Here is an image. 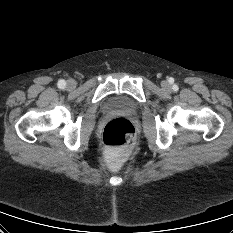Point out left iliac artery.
Wrapping results in <instances>:
<instances>
[{
	"instance_id": "left-iliac-artery-1",
	"label": "left iliac artery",
	"mask_w": 233,
	"mask_h": 233,
	"mask_svg": "<svg viewBox=\"0 0 233 233\" xmlns=\"http://www.w3.org/2000/svg\"><path fill=\"white\" fill-rule=\"evenodd\" d=\"M173 89L176 91L178 89V87L176 85H174Z\"/></svg>"
}]
</instances>
